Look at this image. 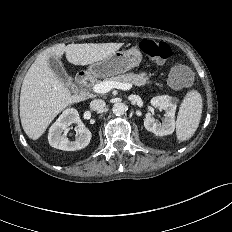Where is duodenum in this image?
Masks as SVG:
<instances>
[{"instance_id": "duodenum-1", "label": "duodenum", "mask_w": 232, "mask_h": 232, "mask_svg": "<svg viewBox=\"0 0 232 232\" xmlns=\"http://www.w3.org/2000/svg\"><path fill=\"white\" fill-rule=\"evenodd\" d=\"M89 79V74L87 72H79L76 75V82L79 85H84Z\"/></svg>"}]
</instances>
